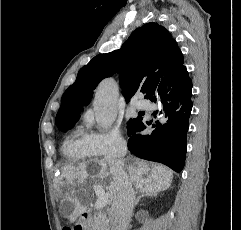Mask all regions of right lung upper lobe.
I'll return each mask as SVG.
<instances>
[{
	"label": "right lung upper lobe",
	"instance_id": "cb5924a9",
	"mask_svg": "<svg viewBox=\"0 0 241 230\" xmlns=\"http://www.w3.org/2000/svg\"><path fill=\"white\" fill-rule=\"evenodd\" d=\"M183 63V54L167 29L147 23L136 29L119 50L99 54L80 69L76 81L62 96L56 125L61 130L71 128L79 120L83 105L90 102L92 90L106 77L120 74L126 100L137 92L149 98L160 81Z\"/></svg>",
	"mask_w": 241,
	"mask_h": 230
}]
</instances>
